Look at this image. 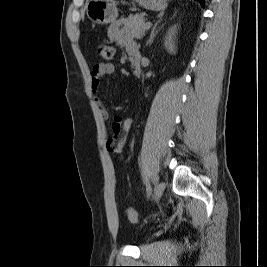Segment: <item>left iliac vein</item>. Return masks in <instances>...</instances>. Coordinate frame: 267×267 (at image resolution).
Masks as SVG:
<instances>
[{
	"label": "left iliac vein",
	"instance_id": "left-iliac-vein-1",
	"mask_svg": "<svg viewBox=\"0 0 267 267\" xmlns=\"http://www.w3.org/2000/svg\"><path fill=\"white\" fill-rule=\"evenodd\" d=\"M164 190H165V184L163 182H158L154 190L155 198L159 199L163 195Z\"/></svg>",
	"mask_w": 267,
	"mask_h": 267
}]
</instances>
